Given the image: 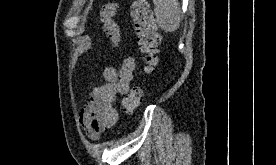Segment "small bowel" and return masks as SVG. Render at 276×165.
<instances>
[{
    "label": "small bowel",
    "mask_w": 276,
    "mask_h": 165,
    "mask_svg": "<svg viewBox=\"0 0 276 165\" xmlns=\"http://www.w3.org/2000/svg\"><path fill=\"white\" fill-rule=\"evenodd\" d=\"M135 60L126 58L119 69L108 66L103 71L105 83L95 87L89 100L79 111V121L87 136L97 140L101 133L113 127L118 119L115 100L125 95L134 78Z\"/></svg>",
    "instance_id": "1"
}]
</instances>
